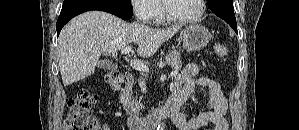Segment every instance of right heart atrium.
<instances>
[{
    "mask_svg": "<svg viewBox=\"0 0 299 130\" xmlns=\"http://www.w3.org/2000/svg\"><path fill=\"white\" fill-rule=\"evenodd\" d=\"M156 0H133L132 8L135 16L142 22L153 21L156 16Z\"/></svg>",
    "mask_w": 299,
    "mask_h": 130,
    "instance_id": "right-heart-atrium-1",
    "label": "right heart atrium"
}]
</instances>
